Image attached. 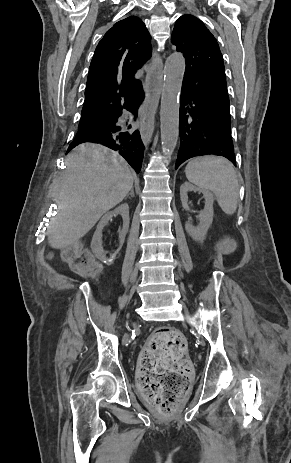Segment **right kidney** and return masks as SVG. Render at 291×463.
Instances as JSON below:
<instances>
[{"instance_id":"right-kidney-1","label":"right kidney","mask_w":291,"mask_h":463,"mask_svg":"<svg viewBox=\"0 0 291 463\" xmlns=\"http://www.w3.org/2000/svg\"><path fill=\"white\" fill-rule=\"evenodd\" d=\"M120 214L123 218V227L119 231V241L120 245L124 243L125 236L128 232L129 229V223H130V218H129V206L128 204H121L117 208H115L113 211L106 213L100 220V222L97 225L96 231L94 232L92 242H91V249L93 253L96 255V257L100 260H106V255L102 247V230L103 228L108 224L110 220H112V217L115 215Z\"/></svg>"}]
</instances>
